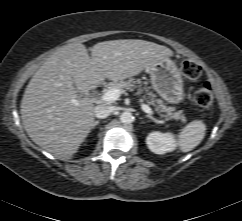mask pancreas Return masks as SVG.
<instances>
[{
  "label": "pancreas",
  "instance_id": "1",
  "mask_svg": "<svg viewBox=\"0 0 242 221\" xmlns=\"http://www.w3.org/2000/svg\"><path fill=\"white\" fill-rule=\"evenodd\" d=\"M142 81L141 80H134L129 79L128 81H118L114 83H109L107 85V89H119L121 94L125 93L126 91H134L137 90V94H141L142 91H145V95L142 97L141 101H145L147 105H151L155 107V110L158 113H165L162 117L170 120H181L182 122L186 121V117L182 113L181 110L175 112V107L167 106L161 99H158L157 96L149 90V88H141Z\"/></svg>",
  "mask_w": 242,
  "mask_h": 221
}]
</instances>
